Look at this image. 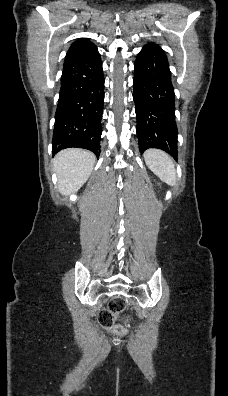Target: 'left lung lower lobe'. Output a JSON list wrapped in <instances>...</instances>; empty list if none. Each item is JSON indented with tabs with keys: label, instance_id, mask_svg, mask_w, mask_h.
I'll use <instances>...</instances> for the list:
<instances>
[{
	"label": "left lung lower lobe",
	"instance_id": "obj_1",
	"mask_svg": "<svg viewBox=\"0 0 228 396\" xmlns=\"http://www.w3.org/2000/svg\"><path fill=\"white\" fill-rule=\"evenodd\" d=\"M139 150L158 148L177 158L175 94L165 52L148 43L137 55L133 79Z\"/></svg>",
	"mask_w": 228,
	"mask_h": 396
}]
</instances>
